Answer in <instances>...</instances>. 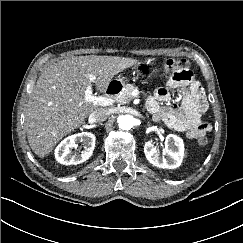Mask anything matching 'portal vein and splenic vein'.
Masks as SVG:
<instances>
[{"label": "portal vein and splenic vein", "mask_w": 243, "mask_h": 243, "mask_svg": "<svg viewBox=\"0 0 243 243\" xmlns=\"http://www.w3.org/2000/svg\"><path fill=\"white\" fill-rule=\"evenodd\" d=\"M94 79H95V77H93V76L90 77V80H94ZM84 99H85V101L92 103L94 105H97V106H109L115 102L110 97L94 96L92 94V84L91 83H89L86 86Z\"/></svg>", "instance_id": "1"}]
</instances>
